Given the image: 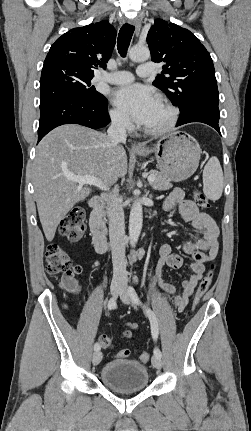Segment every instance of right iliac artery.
<instances>
[{"label":"right iliac artery","instance_id":"82829eb1","mask_svg":"<svg viewBox=\"0 0 251 431\" xmlns=\"http://www.w3.org/2000/svg\"><path fill=\"white\" fill-rule=\"evenodd\" d=\"M114 308H116V299H115V298H111V299L109 300V302H108V309H109V310H112V309H114ZM94 350H95V351L100 350V345H99V343H95V345H94Z\"/></svg>","mask_w":251,"mask_h":431}]
</instances>
